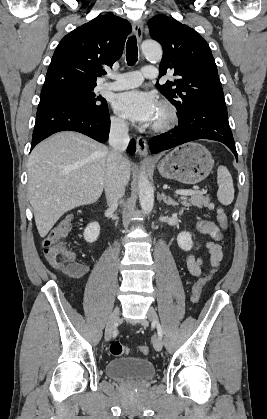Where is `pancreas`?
I'll return each mask as SVG.
<instances>
[{"label":"pancreas","mask_w":267,"mask_h":419,"mask_svg":"<svg viewBox=\"0 0 267 419\" xmlns=\"http://www.w3.org/2000/svg\"><path fill=\"white\" fill-rule=\"evenodd\" d=\"M181 203L186 206H196L198 208H203V206L207 207L210 205V200L208 197L203 196V194L195 193L191 195V198L189 199H181Z\"/></svg>","instance_id":"1"}]
</instances>
